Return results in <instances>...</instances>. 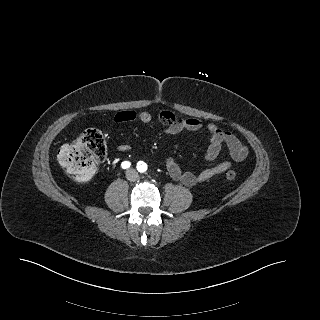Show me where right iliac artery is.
I'll list each match as a JSON object with an SVG mask.
<instances>
[{"label":"right iliac artery","mask_w":320,"mask_h":320,"mask_svg":"<svg viewBox=\"0 0 320 320\" xmlns=\"http://www.w3.org/2000/svg\"><path fill=\"white\" fill-rule=\"evenodd\" d=\"M131 166V163L129 162V161H124V162H122V164H121V167L123 168V169H127V168H129Z\"/></svg>","instance_id":"obj_1"}]
</instances>
